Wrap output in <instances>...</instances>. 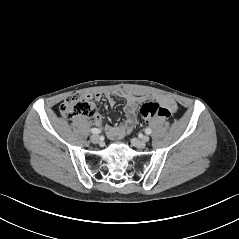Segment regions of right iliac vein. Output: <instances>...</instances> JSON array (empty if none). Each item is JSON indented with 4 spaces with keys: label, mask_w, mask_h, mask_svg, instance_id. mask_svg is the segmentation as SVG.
I'll return each mask as SVG.
<instances>
[{
    "label": "right iliac vein",
    "mask_w": 239,
    "mask_h": 239,
    "mask_svg": "<svg viewBox=\"0 0 239 239\" xmlns=\"http://www.w3.org/2000/svg\"><path fill=\"white\" fill-rule=\"evenodd\" d=\"M90 140H91L92 143L97 144V143L100 142V136L99 135H92L90 137Z\"/></svg>",
    "instance_id": "63e3f726"
}]
</instances>
